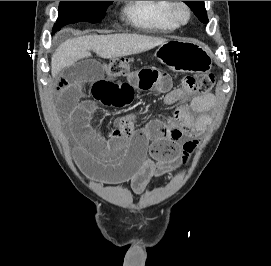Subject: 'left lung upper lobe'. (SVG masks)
I'll return each mask as SVG.
<instances>
[{
    "instance_id": "5c2ea615",
    "label": "left lung upper lobe",
    "mask_w": 271,
    "mask_h": 266,
    "mask_svg": "<svg viewBox=\"0 0 271 266\" xmlns=\"http://www.w3.org/2000/svg\"><path fill=\"white\" fill-rule=\"evenodd\" d=\"M183 2H185L191 8V10L194 12V14L198 17V19L201 22L203 23L208 22L204 1H183Z\"/></svg>"
}]
</instances>
